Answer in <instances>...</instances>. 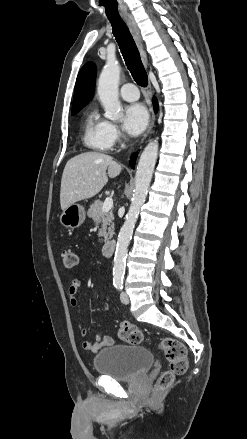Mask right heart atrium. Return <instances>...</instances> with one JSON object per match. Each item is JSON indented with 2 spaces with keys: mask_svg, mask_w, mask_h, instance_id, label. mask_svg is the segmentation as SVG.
I'll list each match as a JSON object with an SVG mask.
<instances>
[{
  "mask_svg": "<svg viewBox=\"0 0 247 439\" xmlns=\"http://www.w3.org/2000/svg\"><path fill=\"white\" fill-rule=\"evenodd\" d=\"M107 133L112 144L118 142L121 139V131L117 124L113 122H108Z\"/></svg>",
  "mask_w": 247,
  "mask_h": 439,
  "instance_id": "1",
  "label": "right heart atrium"
}]
</instances>
